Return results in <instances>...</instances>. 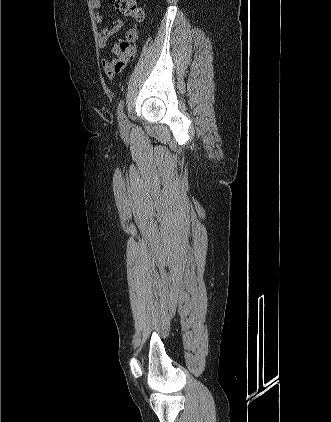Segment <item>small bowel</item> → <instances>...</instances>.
Masks as SVG:
<instances>
[{"label": "small bowel", "mask_w": 331, "mask_h": 422, "mask_svg": "<svg viewBox=\"0 0 331 422\" xmlns=\"http://www.w3.org/2000/svg\"><path fill=\"white\" fill-rule=\"evenodd\" d=\"M91 5L95 11L98 46L100 49H104L107 45L108 38L112 34L120 31V29L123 27V22L122 20L117 19L110 26H104L103 17L99 12L101 7L100 0H91ZM137 38V29L130 28L127 30L125 37L114 44L112 48V53L114 56L112 58H102V68L108 77L114 78L117 74L122 72L128 61L135 58L137 52Z\"/></svg>", "instance_id": "small-bowel-1"}]
</instances>
